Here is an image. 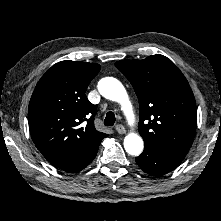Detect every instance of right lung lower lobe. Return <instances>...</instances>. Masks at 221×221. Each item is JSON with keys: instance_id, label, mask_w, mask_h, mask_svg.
<instances>
[{"instance_id": "1", "label": "right lung lower lobe", "mask_w": 221, "mask_h": 221, "mask_svg": "<svg viewBox=\"0 0 221 221\" xmlns=\"http://www.w3.org/2000/svg\"><path fill=\"white\" fill-rule=\"evenodd\" d=\"M99 145H97L95 148H93L92 150L84 154L83 156L79 157L78 159L72 162H69L67 164H64V165L56 166V167L69 173L78 172L84 169L95 158Z\"/></svg>"}]
</instances>
